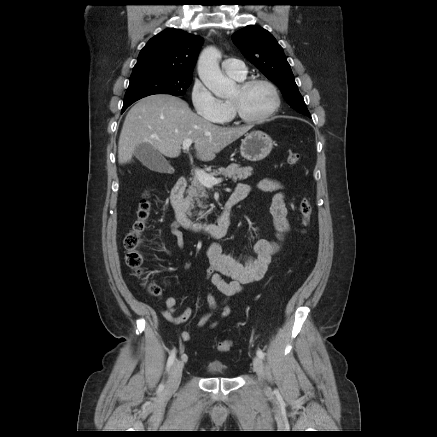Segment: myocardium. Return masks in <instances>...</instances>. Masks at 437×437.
Listing matches in <instances>:
<instances>
[{
  "instance_id": "myocardium-1",
  "label": "myocardium",
  "mask_w": 437,
  "mask_h": 437,
  "mask_svg": "<svg viewBox=\"0 0 437 437\" xmlns=\"http://www.w3.org/2000/svg\"><path fill=\"white\" fill-rule=\"evenodd\" d=\"M265 85L267 86L272 94H273V105L272 107L269 109L268 112H266L264 115L259 116V117H249L247 115H245L240 107L238 106V104L233 101V100H229V105H230V109L232 112L233 117L243 123L246 124H260L263 123L265 121H267L269 118H271L279 109L280 104H281V97L279 94V91L276 87V85L271 82L270 80L267 79H263V78H252V79H247L242 81L238 86L241 90H247L255 85Z\"/></svg>"
}]
</instances>
